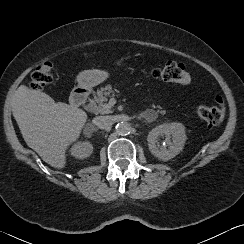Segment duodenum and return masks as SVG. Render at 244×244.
Returning a JSON list of instances; mask_svg holds the SVG:
<instances>
[{
    "label": "duodenum",
    "instance_id": "duodenum-1",
    "mask_svg": "<svg viewBox=\"0 0 244 244\" xmlns=\"http://www.w3.org/2000/svg\"><path fill=\"white\" fill-rule=\"evenodd\" d=\"M90 95V89L86 86H78L76 87L71 96H70V104L73 107H79L86 103Z\"/></svg>",
    "mask_w": 244,
    "mask_h": 244
}]
</instances>
